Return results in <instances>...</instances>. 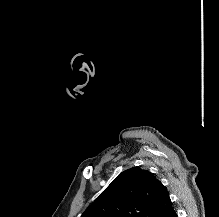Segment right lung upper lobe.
I'll return each mask as SVG.
<instances>
[{
    "mask_svg": "<svg viewBox=\"0 0 219 217\" xmlns=\"http://www.w3.org/2000/svg\"><path fill=\"white\" fill-rule=\"evenodd\" d=\"M172 202L166 187L147 170L120 173L81 217H166Z\"/></svg>",
    "mask_w": 219,
    "mask_h": 217,
    "instance_id": "obj_1",
    "label": "right lung upper lobe"
}]
</instances>
